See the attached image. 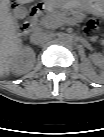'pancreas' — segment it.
<instances>
[{
    "label": "pancreas",
    "instance_id": "cf45deb5",
    "mask_svg": "<svg viewBox=\"0 0 104 137\" xmlns=\"http://www.w3.org/2000/svg\"><path fill=\"white\" fill-rule=\"evenodd\" d=\"M70 13L66 12H51L46 14L40 21V24L48 29H56L67 23V16Z\"/></svg>",
    "mask_w": 104,
    "mask_h": 137
}]
</instances>
